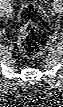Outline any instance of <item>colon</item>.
<instances>
[{
	"mask_svg": "<svg viewBox=\"0 0 63 107\" xmlns=\"http://www.w3.org/2000/svg\"><path fill=\"white\" fill-rule=\"evenodd\" d=\"M20 30L17 44L27 58L40 55L46 48L50 28L49 20L42 9L35 3H26L19 13Z\"/></svg>",
	"mask_w": 63,
	"mask_h": 107,
	"instance_id": "5ec220e1",
	"label": "colon"
}]
</instances>
